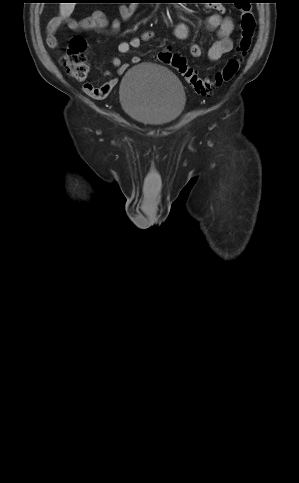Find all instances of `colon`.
<instances>
[{"label": "colon", "instance_id": "colon-1", "mask_svg": "<svg viewBox=\"0 0 299 483\" xmlns=\"http://www.w3.org/2000/svg\"><path fill=\"white\" fill-rule=\"evenodd\" d=\"M255 16L250 9H241L240 36L237 42L235 54L228 59L226 64L213 77H200L186 59L171 50H162L156 55L159 63L174 68L192 87L199 96H210L225 83L231 81L240 69L247 56L255 32ZM86 40L83 37H74L62 59V64L67 73L78 81H85L89 72L86 62Z\"/></svg>", "mask_w": 299, "mask_h": 483}]
</instances>
